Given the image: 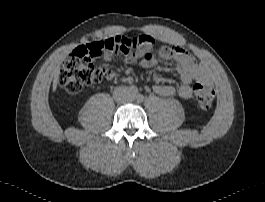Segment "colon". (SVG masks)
I'll use <instances>...</instances> for the list:
<instances>
[{"label": "colon", "mask_w": 265, "mask_h": 202, "mask_svg": "<svg viewBox=\"0 0 265 202\" xmlns=\"http://www.w3.org/2000/svg\"><path fill=\"white\" fill-rule=\"evenodd\" d=\"M146 39V35L133 38L122 35L105 37L89 45L92 55L71 54L59 71L60 86L69 93L77 94L85 86L113 80L116 76L115 70L110 67L95 66L89 56H97L104 52L127 54L139 48H143L151 55L152 45L145 44ZM194 94L200 108H210L215 101V89L210 85L195 84Z\"/></svg>", "instance_id": "colon-1"}]
</instances>
